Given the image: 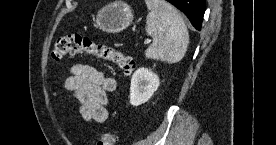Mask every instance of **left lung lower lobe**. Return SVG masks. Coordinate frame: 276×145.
I'll list each match as a JSON object with an SVG mask.
<instances>
[{"instance_id": "0a47b994", "label": "left lung lower lobe", "mask_w": 276, "mask_h": 145, "mask_svg": "<svg viewBox=\"0 0 276 145\" xmlns=\"http://www.w3.org/2000/svg\"><path fill=\"white\" fill-rule=\"evenodd\" d=\"M180 9L190 20L192 25L200 30L205 12L206 0H167Z\"/></svg>"}]
</instances>
